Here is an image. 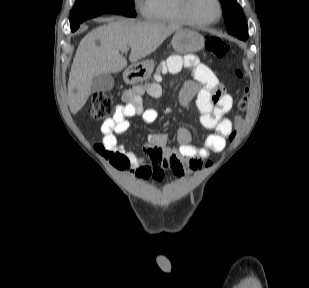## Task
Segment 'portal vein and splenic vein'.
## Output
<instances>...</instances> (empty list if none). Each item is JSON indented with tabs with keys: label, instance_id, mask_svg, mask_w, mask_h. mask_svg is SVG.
<instances>
[{
	"label": "portal vein and splenic vein",
	"instance_id": "obj_1",
	"mask_svg": "<svg viewBox=\"0 0 309 288\" xmlns=\"http://www.w3.org/2000/svg\"><path fill=\"white\" fill-rule=\"evenodd\" d=\"M129 50V48L128 47H124V48H122V52H127Z\"/></svg>",
	"mask_w": 309,
	"mask_h": 288
}]
</instances>
